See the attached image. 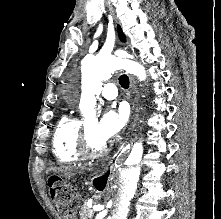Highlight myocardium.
Masks as SVG:
<instances>
[{
    "label": "myocardium",
    "mask_w": 221,
    "mask_h": 219,
    "mask_svg": "<svg viewBox=\"0 0 221 219\" xmlns=\"http://www.w3.org/2000/svg\"><path fill=\"white\" fill-rule=\"evenodd\" d=\"M109 150V143L104 144L99 148L91 147L89 143L88 129L83 125L79 137L78 153L83 159H94L105 155Z\"/></svg>",
    "instance_id": "f54148a6"
}]
</instances>
